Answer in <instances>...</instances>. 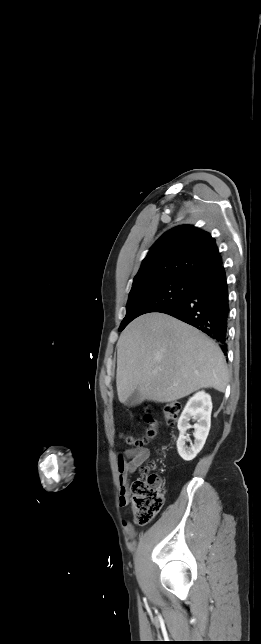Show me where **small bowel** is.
<instances>
[{"instance_id": "c3829d8e", "label": "small bowel", "mask_w": 261, "mask_h": 644, "mask_svg": "<svg viewBox=\"0 0 261 644\" xmlns=\"http://www.w3.org/2000/svg\"><path fill=\"white\" fill-rule=\"evenodd\" d=\"M150 455L151 453L148 449L139 448L129 449L125 452L124 456L118 458L117 469L119 473L120 506L125 507L129 504L128 485L130 476L139 470ZM123 526L127 536L133 539L136 536V530L132 524L124 521Z\"/></svg>"}]
</instances>
